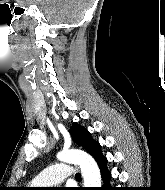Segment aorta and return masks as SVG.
<instances>
[{"label": "aorta", "mask_w": 165, "mask_h": 190, "mask_svg": "<svg viewBox=\"0 0 165 190\" xmlns=\"http://www.w3.org/2000/svg\"><path fill=\"white\" fill-rule=\"evenodd\" d=\"M57 158L63 162L80 165L85 187H101V175L95 160L79 150H63Z\"/></svg>", "instance_id": "aorta-1"}]
</instances>
